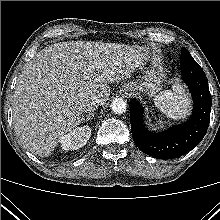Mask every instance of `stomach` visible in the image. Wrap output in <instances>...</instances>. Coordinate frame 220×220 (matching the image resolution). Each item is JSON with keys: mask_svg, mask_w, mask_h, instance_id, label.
I'll list each match as a JSON object with an SVG mask.
<instances>
[{"mask_svg": "<svg viewBox=\"0 0 220 220\" xmlns=\"http://www.w3.org/2000/svg\"><path fill=\"white\" fill-rule=\"evenodd\" d=\"M146 62H150L151 54L146 53L144 56ZM163 81V73L154 64L145 68L142 77L135 82L125 83L122 86V91L127 89L138 90L141 92H146L149 96L154 95L161 89V84Z\"/></svg>", "mask_w": 220, "mask_h": 220, "instance_id": "0dacf381", "label": "stomach"}]
</instances>
